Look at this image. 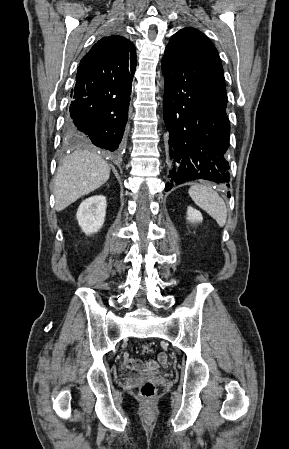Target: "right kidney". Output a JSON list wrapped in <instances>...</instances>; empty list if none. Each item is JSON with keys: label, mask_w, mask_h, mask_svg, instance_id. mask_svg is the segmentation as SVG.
<instances>
[{"label": "right kidney", "mask_w": 289, "mask_h": 449, "mask_svg": "<svg viewBox=\"0 0 289 449\" xmlns=\"http://www.w3.org/2000/svg\"><path fill=\"white\" fill-rule=\"evenodd\" d=\"M106 197L104 195H94L85 199L77 210V220L82 231L86 235L98 232L105 221Z\"/></svg>", "instance_id": "1"}]
</instances>
